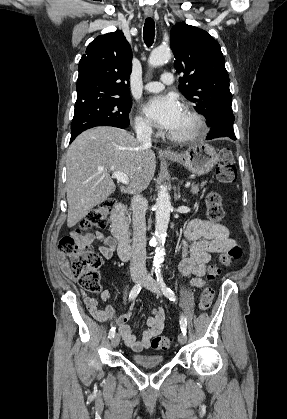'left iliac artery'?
<instances>
[{
  "mask_svg": "<svg viewBox=\"0 0 287 419\" xmlns=\"http://www.w3.org/2000/svg\"><path fill=\"white\" fill-rule=\"evenodd\" d=\"M156 278H157V282L161 287V290L163 292V294L170 300L175 302L176 301V296L174 294V292L166 286L164 280H163V276L160 272V270H158V272H156ZM186 327H187V321L186 318L183 316V314L180 316V328L182 333L186 334Z\"/></svg>",
  "mask_w": 287,
  "mask_h": 419,
  "instance_id": "44dca946",
  "label": "left iliac artery"
}]
</instances>
